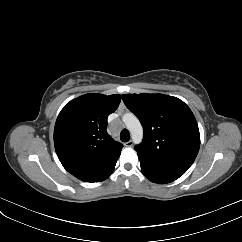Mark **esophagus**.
Instances as JSON below:
<instances>
[{
    "instance_id": "34e87169",
    "label": "esophagus",
    "mask_w": 242,
    "mask_h": 242,
    "mask_svg": "<svg viewBox=\"0 0 242 242\" xmlns=\"http://www.w3.org/2000/svg\"><path fill=\"white\" fill-rule=\"evenodd\" d=\"M133 145V142L129 140L128 142L124 143V146L131 147Z\"/></svg>"
}]
</instances>
